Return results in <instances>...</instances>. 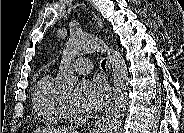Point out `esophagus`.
Segmentation results:
<instances>
[{"label": "esophagus", "instance_id": "1", "mask_svg": "<svg viewBox=\"0 0 184 133\" xmlns=\"http://www.w3.org/2000/svg\"><path fill=\"white\" fill-rule=\"evenodd\" d=\"M98 25L101 27V22L98 20ZM107 66H108V68L110 69V63L108 62L107 63ZM112 96V89H110V97ZM103 120H104V116H102L95 124H94V126H93V128L91 129V131L93 132V133H98L99 132V130H100V128H101V126H102V122H103Z\"/></svg>", "mask_w": 184, "mask_h": 133}]
</instances>
